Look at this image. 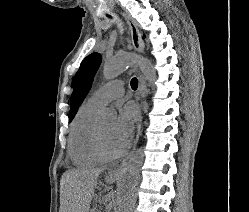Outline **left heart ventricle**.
<instances>
[{"label":"left heart ventricle","instance_id":"obj_1","mask_svg":"<svg viewBox=\"0 0 249 212\" xmlns=\"http://www.w3.org/2000/svg\"><path fill=\"white\" fill-rule=\"evenodd\" d=\"M114 121H104L99 123L100 134L104 147L111 153H116L111 143V133L113 129Z\"/></svg>","mask_w":249,"mask_h":212}]
</instances>
